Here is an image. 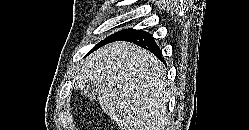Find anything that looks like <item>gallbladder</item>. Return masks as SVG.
Segmentation results:
<instances>
[{
  "label": "gallbladder",
  "mask_w": 249,
  "mask_h": 130,
  "mask_svg": "<svg viewBox=\"0 0 249 130\" xmlns=\"http://www.w3.org/2000/svg\"><path fill=\"white\" fill-rule=\"evenodd\" d=\"M81 94L85 98L93 101L96 98V96H97V87H96V85L94 83L87 82L86 84H84L82 86V88H81Z\"/></svg>",
  "instance_id": "obj_1"
}]
</instances>
